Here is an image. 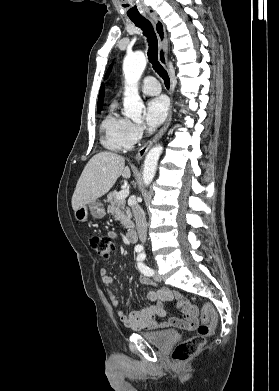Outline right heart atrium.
I'll return each instance as SVG.
<instances>
[{
    "label": "right heart atrium",
    "instance_id": "right-heart-atrium-1",
    "mask_svg": "<svg viewBox=\"0 0 279 391\" xmlns=\"http://www.w3.org/2000/svg\"><path fill=\"white\" fill-rule=\"evenodd\" d=\"M144 135V126L139 123L130 122L128 128V137L134 143L142 138Z\"/></svg>",
    "mask_w": 279,
    "mask_h": 391
}]
</instances>
